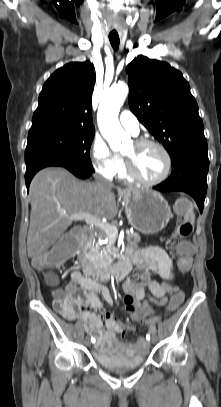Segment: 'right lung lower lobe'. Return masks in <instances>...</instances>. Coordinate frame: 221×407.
<instances>
[{"instance_id":"right-lung-lower-lobe-1","label":"right lung lower lobe","mask_w":221,"mask_h":407,"mask_svg":"<svg viewBox=\"0 0 221 407\" xmlns=\"http://www.w3.org/2000/svg\"><path fill=\"white\" fill-rule=\"evenodd\" d=\"M48 166H60L68 169L72 172L75 176L85 179L92 175V171L83 170L77 166L71 165L68 162L64 161L61 158L54 157V156H44L38 159L33 160L31 163L26 165V174H25V182L26 187L29 190L30 182L33 176L42 168Z\"/></svg>"}]
</instances>
